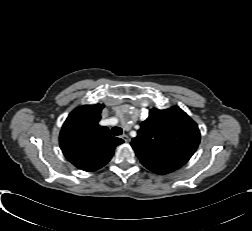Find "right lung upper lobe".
Returning <instances> with one entry per match:
<instances>
[{
	"mask_svg": "<svg viewBox=\"0 0 252 231\" xmlns=\"http://www.w3.org/2000/svg\"><path fill=\"white\" fill-rule=\"evenodd\" d=\"M103 108V104L76 108L69 114L60 132L59 143L64 156L84 171H96L106 165L116 146L124 142L111 136L107 127L99 125Z\"/></svg>",
	"mask_w": 252,
	"mask_h": 231,
	"instance_id": "obj_1",
	"label": "right lung upper lobe"
}]
</instances>
